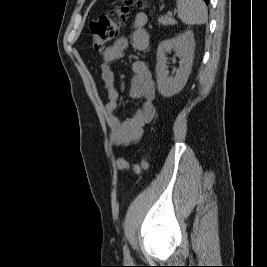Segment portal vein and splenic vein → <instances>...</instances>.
<instances>
[{"instance_id": "1", "label": "portal vein and splenic vein", "mask_w": 267, "mask_h": 267, "mask_svg": "<svg viewBox=\"0 0 267 267\" xmlns=\"http://www.w3.org/2000/svg\"><path fill=\"white\" fill-rule=\"evenodd\" d=\"M167 14L171 16L172 15V12L168 11Z\"/></svg>"}]
</instances>
